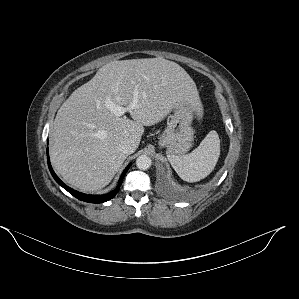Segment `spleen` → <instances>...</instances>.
Wrapping results in <instances>:
<instances>
[{
    "label": "spleen",
    "instance_id": "spleen-1",
    "mask_svg": "<svg viewBox=\"0 0 299 299\" xmlns=\"http://www.w3.org/2000/svg\"><path fill=\"white\" fill-rule=\"evenodd\" d=\"M220 155V139L216 131H210L200 145L182 156H168L178 176L186 182H197L207 177L217 164Z\"/></svg>",
    "mask_w": 299,
    "mask_h": 299
}]
</instances>
